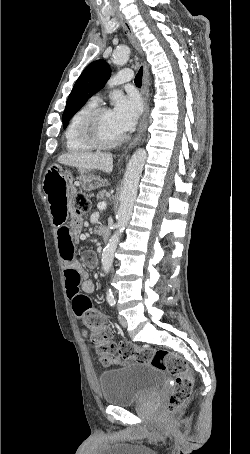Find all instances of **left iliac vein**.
I'll return each instance as SVG.
<instances>
[{
	"instance_id": "obj_1",
	"label": "left iliac vein",
	"mask_w": 250,
	"mask_h": 454,
	"mask_svg": "<svg viewBox=\"0 0 250 454\" xmlns=\"http://www.w3.org/2000/svg\"><path fill=\"white\" fill-rule=\"evenodd\" d=\"M118 320L122 327H124V328L127 327V321L122 315H118Z\"/></svg>"
}]
</instances>
